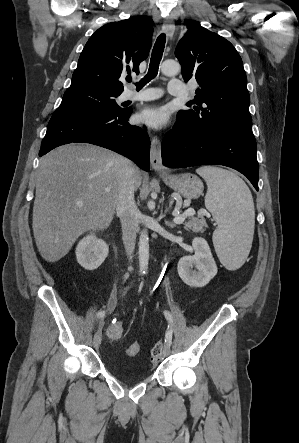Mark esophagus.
Instances as JSON below:
<instances>
[{"label": "esophagus", "instance_id": "esophagus-1", "mask_svg": "<svg viewBox=\"0 0 299 443\" xmlns=\"http://www.w3.org/2000/svg\"><path fill=\"white\" fill-rule=\"evenodd\" d=\"M162 30L169 39L173 37L175 26L172 22L171 17H167L162 26ZM150 162L152 168L157 172H164L165 168L162 164V156H161V142L157 136H154L151 140V149H150Z\"/></svg>", "mask_w": 299, "mask_h": 443}]
</instances>
